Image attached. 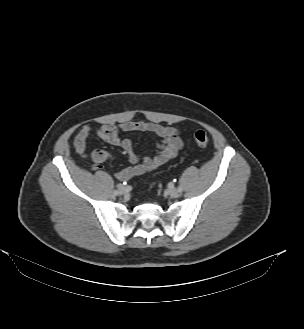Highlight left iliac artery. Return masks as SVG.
Wrapping results in <instances>:
<instances>
[{"mask_svg":"<svg viewBox=\"0 0 304 329\" xmlns=\"http://www.w3.org/2000/svg\"><path fill=\"white\" fill-rule=\"evenodd\" d=\"M178 190L181 192V191H182V187H181V186H179V187H178Z\"/></svg>","mask_w":304,"mask_h":329,"instance_id":"44dca946","label":"left iliac artery"}]
</instances>
